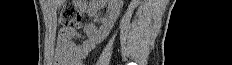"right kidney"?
Wrapping results in <instances>:
<instances>
[{"instance_id": "ca27d5eb", "label": "right kidney", "mask_w": 232, "mask_h": 65, "mask_svg": "<svg viewBox=\"0 0 232 65\" xmlns=\"http://www.w3.org/2000/svg\"><path fill=\"white\" fill-rule=\"evenodd\" d=\"M109 6V20L100 28L96 29L95 25L89 24L86 27V35L95 43H101L110 33L113 28L122 8V0H96L93 1L88 9V16L95 17L97 12L104 6Z\"/></svg>"}]
</instances>
